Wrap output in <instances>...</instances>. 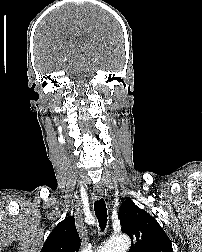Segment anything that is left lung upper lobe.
Wrapping results in <instances>:
<instances>
[{
	"label": "left lung upper lobe",
	"instance_id": "left-lung-upper-lobe-1",
	"mask_svg": "<svg viewBox=\"0 0 202 252\" xmlns=\"http://www.w3.org/2000/svg\"><path fill=\"white\" fill-rule=\"evenodd\" d=\"M122 231L133 241L129 252H173L172 243L158 222L130 199L119 210Z\"/></svg>",
	"mask_w": 202,
	"mask_h": 252
}]
</instances>
